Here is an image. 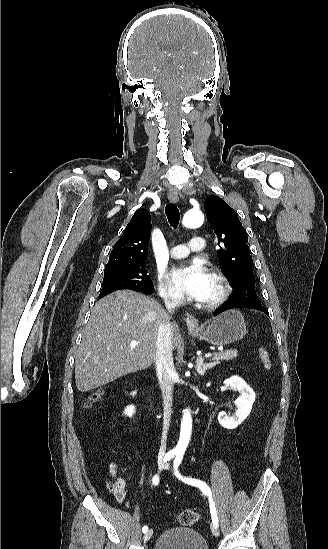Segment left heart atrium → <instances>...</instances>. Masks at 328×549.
<instances>
[{
  "mask_svg": "<svg viewBox=\"0 0 328 549\" xmlns=\"http://www.w3.org/2000/svg\"><path fill=\"white\" fill-rule=\"evenodd\" d=\"M210 273L198 264L175 270L171 276L175 292L186 300L202 301L210 283Z\"/></svg>",
  "mask_w": 328,
  "mask_h": 549,
  "instance_id": "39dd6f15",
  "label": "left heart atrium"
}]
</instances>
